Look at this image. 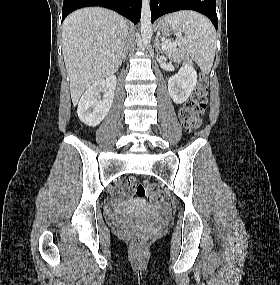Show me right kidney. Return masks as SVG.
<instances>
[{
	"instance_id": "right-kidney-1",
	"label": "right kidney",
	"mask_w": 280,
	"mask_h": 285,
	"mask_svg": "<svg viewBox=\"0 0 280 285\" xmlns=\"http://www.w3.org/2000/svg\"><path fill=\"white\" fill-rule=\"evenodd\" d=\"M117 83L115 75L101 79L91 85L81 97L77 114L79 119L87 126H98L109 112L114 98V91ZM105 92L100 100L99 93Z\"/></svg>"
}]
</instances>
